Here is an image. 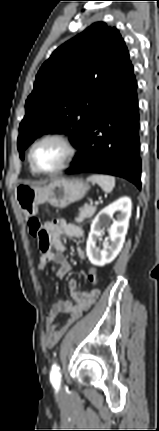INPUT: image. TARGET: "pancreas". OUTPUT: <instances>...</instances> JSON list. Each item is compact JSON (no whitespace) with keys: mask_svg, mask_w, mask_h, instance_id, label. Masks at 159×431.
<instances>
[{"mask_svg":"<svg viewBox=\"0 0 159 431\" xmlns=\"http://www.w3.org/2000/svg\"><path fill=\"white\" fill-rule=\"evenodd\" d=\"M96 210H97L96 206H91V205L90 206H88V205L83 206L82 208H80L79 215L77 218H75V221L78 223H81L84 220L91 218L95 214Z\"/></svg>","mask_w":159,"mask_h":431,"instance_id":"pancreas-1","label":"pancreas"}]
</instances>
